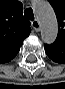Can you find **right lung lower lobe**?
Listing matches in <instances>:
<instances>
[{
  "label": "right lung lower lobe",
  "instance_id": "obj_1",
  "mask_svg": "<svg viewBox=\"0 0 65 89\" xmlns=\"http://www.w3.org/2000/svg\"><path fill=\"white\" fill-rule=\"evenodd\" d=\"M17 55V54H16ZM16 55H14L13 57L11 58H8V60L6 61H2V56H1V59H0V64H3V63H6V62H9L10 60H12Z\"/></svg>",
  "mask_w": 65,
  "mask_h": 89
}]
</instances>
